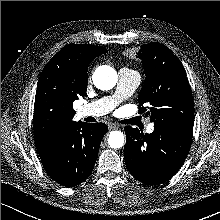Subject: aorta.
<instances>
[{"mask_svg": "<svg viewBox=\"0 0 220 220\" xmlns=\"http://www.w3.org/2000/svg\"><path fill=\"white\" fill-rule=\"evenodd\" d=\"M118 80L117 72L110 66H100L93 74V83L100 90L112 89ZM125 139L121 131H111L108 144L111 148H121L124 146Z\"/></svg>", "mask_w": 220, "mask_h": 220, "instance_id": "obj_1", "label": "aorta"}]
</instances>
